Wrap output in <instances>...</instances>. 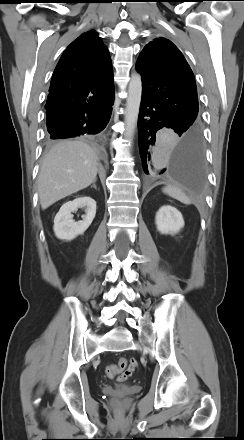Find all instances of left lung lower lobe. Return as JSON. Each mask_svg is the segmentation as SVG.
Instances as JSON below:
<instances>
[{
	"label": "left lung lower lobe",
	"mask_w": 244,
	"mask_h": 440,
	"mask_svg": "<svg viewBox=\"0 0 244 440\" xmlns=\"http://www.w3.org/2000/svg\"><path fill=\"white\" fill-rule=\"evenodd\" d=\"M168 129L182 138L172 150L160 135ZM139 151L147 175H176L181 184L192 192L201 190L205 162L202 134L180 126L166 109L142 96L138 117Z\"/></svg>",
	"instance_id": "obj_1"
}]
</instances>
